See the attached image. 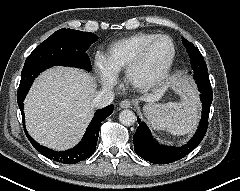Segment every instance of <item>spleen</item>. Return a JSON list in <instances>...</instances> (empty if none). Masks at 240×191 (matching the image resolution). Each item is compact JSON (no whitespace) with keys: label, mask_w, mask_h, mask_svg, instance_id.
Here are the masks:
<instances>
[{"label":"spleen","mask_w":240,"mask_h":191,"mask_svg":"<svg viewBox=\"0 0 240 191\" xmlns=\"http://www.w3.org/2000/svg\"><path fill=\"white\" fill-rule=\"evenodd\" d=\"M151 125L156 130H166L173 135H185L190 133L195 126L191 121H185L174 116L167 108H162L148 117Z\"/></svg>","instance_id":"3e777b00"}]
</instances>
